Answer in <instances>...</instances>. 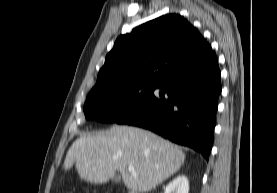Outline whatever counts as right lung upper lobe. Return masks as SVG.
Returning a JSON list of instances; mask_svg holds the SVG:
<instances>
[{"mask_svg": "<svg viewBox=\"0 0 277 193\" xmlns=\"http://www.w3.org/2000/svg\"><path fill=\"white\" fill-rule=\"evenodd\" d=\"M212 52L209 43L184 17L160 16L117 38L90 93L135 85L158 87Z\"/></svg>", "mask_w": 277, "mask_h": 193, "instance_id": "obj_1", "label": "right lung upper lobe"}]
</instances>
